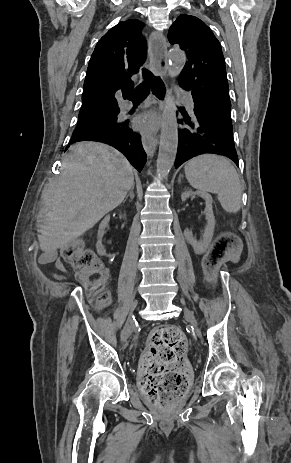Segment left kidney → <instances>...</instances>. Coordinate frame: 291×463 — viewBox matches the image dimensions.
<instances>
[{"instance_id":"left-kidney-1","label":"left kidney","mask_w":291,"mask_h":463,"mask_svg":"<svg viewBox=\"0 0 291 463\" xmlns=\"http://www.w3.org/2000/svg\"><path fill=\"white\" fill-rule=\"evenodd\" d=\"M192 194H195L205 200L204 214L206 215L207 224L205 226L202 239L197 240L193 236L192 231L189 229H185L184 236L186 241L193 247L194 252L196 254H202L207 250L214 233L215 217L212 209L213 199L211 195L205 191L192 192L191 190H187L181 194L182 201H186Z\"/></svg>"}]
</instances>
